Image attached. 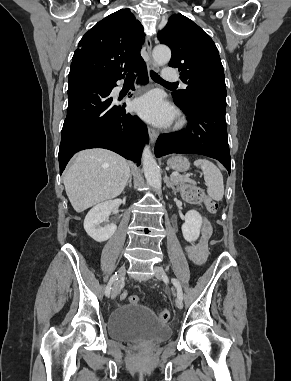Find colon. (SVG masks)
I'll list each match as a JSON object with an SVG mask.
<instances>
[{
    "label": "colon",
    "instance_id": "colon-1",
    "mask_svg": "<svg viewBox=\"0 0 291 381\" xmlns=\"http://www.w3.org/2000/svg\"><path fill=\"white\" fill-rule=\"evenodd\" d=\"M182 196L191 203H204L210 213H216L218 204L215 200L206 196L204 190L195 184H186L181 187ZM122 300L128 299L130 303H138L139 298L136 295H128L125 291L121 292ZM171 313L168 309L159 312L158 318L162 322H167L170 319Z\"/></svg>",
    "mask_w": 291,
    "mask_h": 381
}]
</instances>
